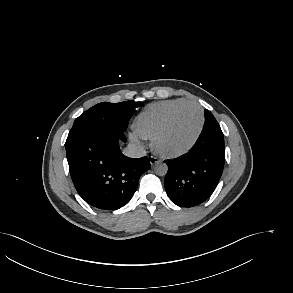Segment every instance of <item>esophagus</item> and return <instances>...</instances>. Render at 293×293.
Wrapping results in <instances>:
<instances>
[{
    "mask_svg": "<svg viewBox=\"0 0 293 293\" xmlns=\"http://www.w3.org/2000/svg\"><path fill=\"white\" fill-rule=\"evenodd\" d=\"M149 162H150L151 165H154V164H156V163H159L160 160H159V158H157V157L150 156V158H149Z\"/></svg>",
    "mask_w": 293,
    "mask_h": 293,
    "instance_id": "obj_1",
    "label": "esophagus"
}]
</instances>
